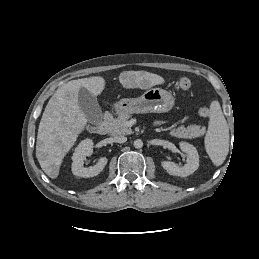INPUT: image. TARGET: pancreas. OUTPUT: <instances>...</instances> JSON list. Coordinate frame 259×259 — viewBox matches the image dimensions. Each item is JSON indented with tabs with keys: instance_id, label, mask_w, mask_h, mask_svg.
Returning a JSON list of instances; mask_svg holds the SVG:
<instances>
[{
	"instance_id": "obj_1",
	"label": "pancreas",
	"mask_w": 259,
	"mask_h": 259,
	"mask_svg": "<svg viewBox=\"0 0 259 259\" xmlns=\"http://www.w3.org/2000/svg\"><path fill=\"white\" fill-rule=\"evenodd\" d=\"M129 118V114H122L118 118H114L112 115H109L105 119L104 124L108 132L113 136L128 135L132 133V129L126 126V122ZM205 131V127H201L200 125H190L188 127L180 126L173 129L170 134L176 137L196 138L204 135Z\"/></svg>"
}]
</instances>
